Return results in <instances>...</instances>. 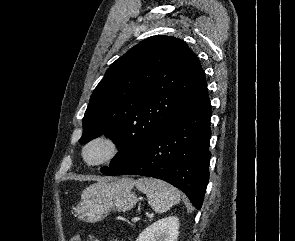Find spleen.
<instances>
[{
  "label": "spleen",
  "instance_id": "obj_1",
  "mask_svg": "<svg viewBox=\"0 0 295 241\" xmlns=\"http://www.w3.org/2000/svg\"><path fill=\"white\" fill-rule=\"evenodd\" d=\"M137 189L146 194L148 203L157 213H164L181 199L180 191L170 184L155 178L136 180Z\"/></svg>",
  "mask_w": 295,
  "mask_h": 241
}]
</instances>
